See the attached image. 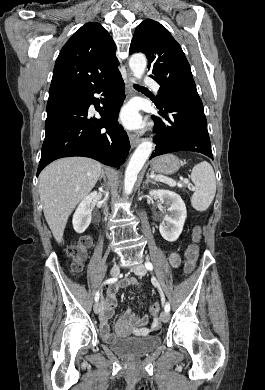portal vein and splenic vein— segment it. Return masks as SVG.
Returning a JSON list of instances; mask_svg holds the SVG:
<instances>
[{
    "label": "portal vein and splenic vein",
    "instance_id": "1",
    "mask_svg": "<svg viewBox=\"0 0 265 390\" xmlns=\"http://www.w3.org/2000/svg\"><path fill=\"white\" fill-rule=\"evenodd\" d=\"M155 179L157 181L164 182L170 186H176V184H177L175 180L168 178V177H164V176H157V177H155ZM183 183H188V181L184 180ZM179 186H182V184H179Z\"/></svg>",
    "mask_w": 265,
    "mask_h": 390
}]
</instances>
